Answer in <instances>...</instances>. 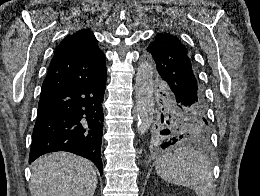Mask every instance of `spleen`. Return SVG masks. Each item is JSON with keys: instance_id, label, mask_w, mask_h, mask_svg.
Returning a JSON list of instances; mask_svg holds the SVG:
<instances>
[{"instance_id": "1", "label": "spleen", "mask_w": 260, "mask_h": 196, "mask_svg": "<svg viewBox=\"0 0 260 196\" xmlns=\"http://www.w3.org/2000/svg\"><path fill=\"white\" fill-rule=\"evenodd\" d=\"M156 172L162 180L194 190L197 196H208L213 186V168L201 152L177 148L156 160Z\"/></svg>"}]
</instances>
